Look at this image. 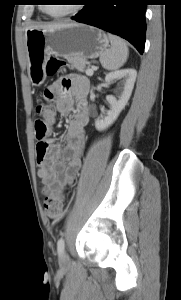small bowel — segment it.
I'll return each instance as SVG.
<instances>
[{"instance_id": "1", "label": "small bowel", "mask_w": 181, "mask_h": 300, "mask_svg": "<svg viewBox=\"0 0 181 300\" xmlns=\"http://www.w3.org/2000/svg\"><path fill=\"white\" fill-rule=\"evenodd\" d=\"M88 91V79L75 74L60 77L47 89L46 93L52 96V100L56 99L59 114H69L73 100L77 104V110L69 116L63 145L52 138L46 139L44 143H37L38 177L43 182V192L46 195L71 184L79 173L86 146L85 128L89 122ZM52 129L53 125H48V133Z\"/></svg>"}]
</instances>
